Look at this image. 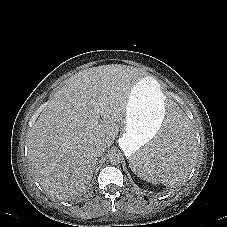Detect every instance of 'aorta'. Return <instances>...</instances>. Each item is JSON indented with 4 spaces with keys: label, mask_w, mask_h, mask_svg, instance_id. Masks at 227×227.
I'll list each match as a JSON object with an SVG mask.
<instances>
[{
    "label": "aorta",
    "mask_w": 227,
    "mask_h": 227,
    "mask_svg": "<svg viewBox=\"0 0 227 227\" xmlns=\"http://www.w3.org/2000/svg\"><path fill=\"white\" fill-rule=\"evenodd\" d=\"M108 157H109V162L111 164L117 165V164L120 163L121 158H120V155L118 153L112 152V153L109 154Z\"/></svg>",
    "instance_id": "obj_1"
}]
</instances>
